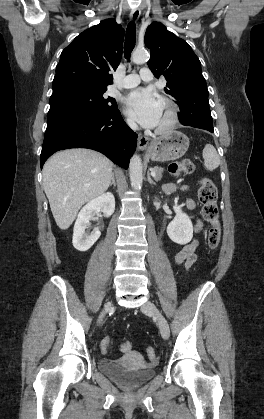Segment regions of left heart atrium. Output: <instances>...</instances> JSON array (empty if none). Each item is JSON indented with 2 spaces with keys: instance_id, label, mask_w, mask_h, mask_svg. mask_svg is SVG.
Listing matches in <instances>:
<instances>
[{
  "instance_id": "left-heart-atrium-1",
  "label": "left heart atrium",
  "mask_w": 264,
  "mask_h": 419,
  "mask_svg": "<svg viewBox=\"0 0 264 419\" xmlns=\"http://www.w3.org/2000/svg\"><path fill=\"white\" fill-rule=\"evenodd\" d=\"M125 105L127 112L142 126L151 128L159 124L161 102L151 90L135 89L126 97Z\"/></svg>"
}]
</instances>
